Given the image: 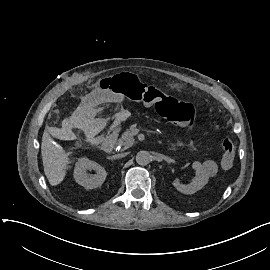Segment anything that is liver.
Instances as JSON below:
<instances>
[{
    "label": "liver",
    "mask_w": 270,
    "mask_h": 270,
    "mask_svg": "<svg viewBox=\"0 0 270 270\" xmlns=\"http://www.w3.org/2000/svg\"><path fill=\"white\" fill-rule=\"evenodd\" d=\"M41 154L45 175L52 186L58 185L65 177L68 155L60 145L52 143L47 131L42 136Z\"/></svg>",
    "instance_id": "obj_1"
}]
</instances>
